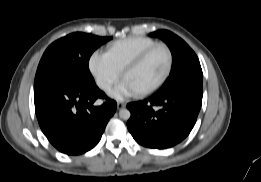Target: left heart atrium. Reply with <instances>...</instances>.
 I'll use <instances>...</instances> for the list:
<instances>
[{
  "instance_id": "39dd6f15",
  "label": "left heart atrium",
  "mask_w": 261,
  "mask_h": 182,
  "mask_svg": "<svg viewBox=\"0 0 261 182\" xmlns=\"http://www.w3.org/2000/svg\"><path fill=\"white\" fill-rule=\"evenodd\" d=\"M139 92L126 80H123L111 93L110 95L118 100L134 96Z\"/></svg>"
}]
</instances>
